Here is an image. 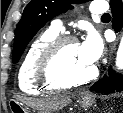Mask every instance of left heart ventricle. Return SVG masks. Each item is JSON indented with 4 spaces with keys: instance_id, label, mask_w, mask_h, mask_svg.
Listing matches in <instances>:
<instances>
[{
    "instance_id": "obj_1",
    "label": "left heart ventricle",
    "mask_w": 123,
    "mask_h": 113,
    "mask_svg": "<svg viewBox=\"0 0 123 113\" xmlns=\"http://www.w3.org/2000/svg\"><path fill=\"white\" fill-rule=\"evenodd\" d=\"M93 65L87 63L81 56L79 45L70 44L62 52L58 69L66 79H77L88 75Z\"/></svg>"
}]
</instances>
